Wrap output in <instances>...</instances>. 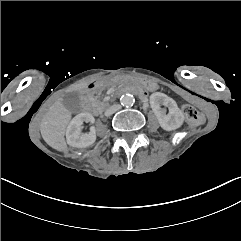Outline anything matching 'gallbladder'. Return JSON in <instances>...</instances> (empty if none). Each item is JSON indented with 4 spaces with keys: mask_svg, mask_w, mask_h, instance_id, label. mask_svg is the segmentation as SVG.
Masks as SVG:
<instances>
[{
    "mask_svg": "<svg viewBox=\"0 0 241 241\" xmlns=\"http://www.w3.org/2000/svg\"><path fill=\"white\" fill-rule=\"evenodd\" d=\"M63 106L70 114L76 115L81 112L83 103L78 92L65 93L63 97Z\"/></svg>",
    "mask_w": 241,
    "mask_h": 241,
    "instance_id": "bac80fb5",
    "label": "gallbladder"
}]
</instances>
